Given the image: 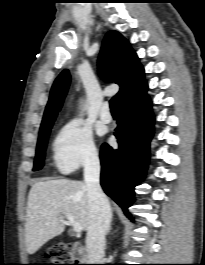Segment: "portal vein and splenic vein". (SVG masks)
Masks as SVG:
<instances>
[{"label": "portal vein and splenic vein", "mask_w": 205, "mask_h": 265, "mask_svg": "<svg viewBox=\"0 0 205 265\" xmlns=\"http://www.w3.org/2000/svg\"><path fill=\"white\" fill-rule=\"evenodd\" d=\"M66 219L69 225H71L73 227V230L76 233H80L83 230V227L81 226V224L79 222H77L73 216H71L70 214H66Z\"/></svg>", "instance_id": "18ae733b"}]
</instances>
